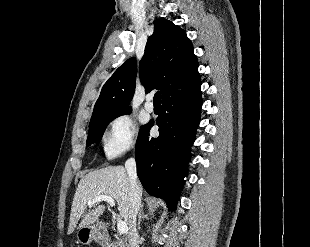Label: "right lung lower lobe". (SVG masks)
Wrapping results in <instances>:
<instances>
[{"mask_svg": "<svg viewBox=\"0 0 310 247\" xmlns=\"http://www.w3.org/2000/svg\"><path fill=\"white\" fill-rule=\"evenodd\" d=\"M200 81L162 101L156 120L160 135L149 139L150 121L136 142L137 174L145 190L166 201L174 210L187 176L190 148L195 140L202 105Z\"/></svg>", "mask_w": 310, "mask_h": 247, "instance_id": "1", "label": "right lung lower lobe"}]
</instances>
